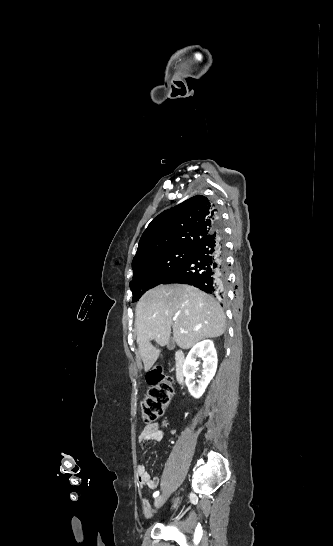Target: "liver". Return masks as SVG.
<instances>
[{"mask_svg":"<svg viewBox=\"0 0 333 546\" xmlns=\"http://www.w3.org/2000/svg\"><path fill=\"white\" fill-rule=\"evenodd\" d=\"M135 314L137 343L146 372L161 352L151 341L166 345L171 328L172 339L182 349L219 337L225 331L226 316L219 303L190 285H160L147 291L138 301Z\"/></svg>","mask_w":333,"mask_h":546,"instance_id":"liver-1","label":"liver"}]
</instances>
